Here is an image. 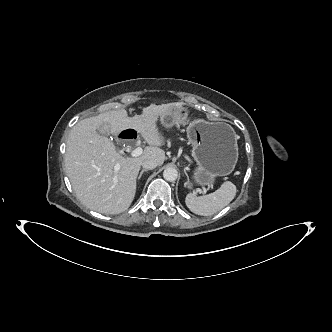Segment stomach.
Segmentation results:
<instances>
[{
  "label": "stomach",
  "instance_id": "stomach-1",
  "mask_svg": "<svg viewBox=\"0 0 332 332\" xmlns=\"http://www.w3.org/2000/svg\"><path fill=\"white\" fill-rule=\"evenodd\" d=\"M160 121L166 128L188 124L187 135L196 162L193 183L203 188H211L217 177L229 175L234 171L239 154L237 136L229 124L206 123L203 120L188 123L185 107L172 108L168 115L160 117ZM185 185L191 187L189 178Z\"/></svg>",
  "mask_w": 332,
  "mask_h": 332
}]
</instances>
